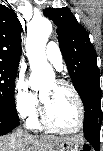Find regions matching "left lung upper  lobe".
Masks as SVG:
<instances>
[{
  "mask_svg": "<svg viewBox=\"0 0 103 151\" xmlns=\"http://www.w3.org/2000/svg\"><path fill=\"white\" fill-rule=\"evenodd\" d=\"M44 15L58 27L59 47L73 85L80 95L88 77H100L95 49L88 33L67 7L46 8Z\"/></svg>",
  "mask_w": 103,
  "mask_h": 151,
  "instance_id": "left-lung-upper-lobe-1",
  "label": "left lung upper lobe"
}]
</instances>
